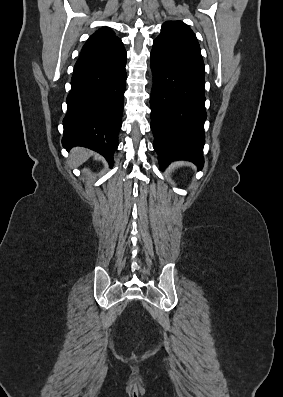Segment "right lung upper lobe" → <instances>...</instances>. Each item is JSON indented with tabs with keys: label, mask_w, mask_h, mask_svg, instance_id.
Here are the masks:
<instances>
[{
	"label": "right lung upper lobe",
	"mask_w": 283,
	"mask_h": 397,
	"mask_svg": "<svg viewBox=\"0 0 283 397\" xmlns=\"http://www.w3.org/2000/svg\"><path fill=\"white\" fill-rule=\"evenodd\" d=\"M126 57L122 41L114 31L103 28L89 37L82 48L74 71L107 65Z\"/></svg>",
	"instance_id": "cb5924a9"
}]
</instances>
